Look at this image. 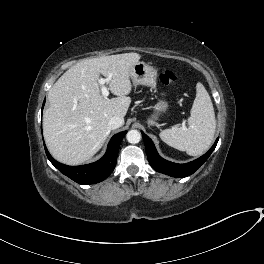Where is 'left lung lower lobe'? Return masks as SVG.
Instances as JSON below:
<instances>
[{"instance_id": "0a47b994", "label": "left lung lower lobe", "mask_w": 264, "mask_h": 264, "mask_svg": "<svg viewBox=\"0 0 264 264\" xmlns=\"http://www.w3.org/2000/svg\"><path fill=\"white\" fill-rule=\"evenodd\" d=\"M142 136L145 143L147 158L152 168L157 172L167 174L172 177L181 178L193 174L199 167H201L202 164L208 159L210 154L213 152L218 142L217 139L214 145L210 148V150L200 158L186 164H176L161 158L157 153V150L151 139L143 132Z\"/></svg>"}]
</instances>
